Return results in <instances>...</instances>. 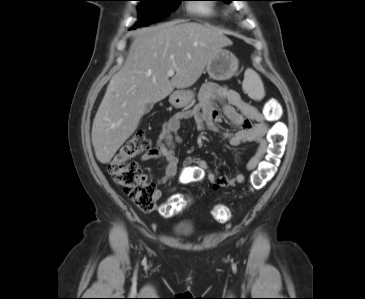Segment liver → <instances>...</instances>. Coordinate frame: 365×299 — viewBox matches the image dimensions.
<instances>
[{
    "instance_id": "obj_1",
    "label": "liver",
    "mask_w": 365,
    "mask_h": 299,
    "mask_svg": "<svg viewBox=\"0 0 365 299\" xmlns=\"http://www.w3.org/2000/svg\"><path fill=\"white\" fill-rule=\"evenodd\" d=\"M230 45L222 30L193 22L174 21L139 30L93 121L97 160L109 163L137 129L147 104L163 100L174 88L192 86L214 55ZM169 70L175 71L171 79Z\"/></svg>"
}]
</instances>
